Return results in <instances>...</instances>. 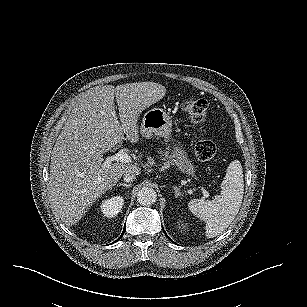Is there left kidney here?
Here are the masks:
<instances>
[{"label":"left kidney","instance_id":"obj_1","mask_svg":"<svg viewBox=\"0 0 307 307\" xmlns=\"http://www.w3.org/2000/svg\"><path fill=\"white\" fill-rule=\"evenodd\" d=\"M179 226L181 227V232H188L190 230V223L186 218H183L179 221Z\"/></svg>","mask_w":307,"mask_h":307}]
</instances>
